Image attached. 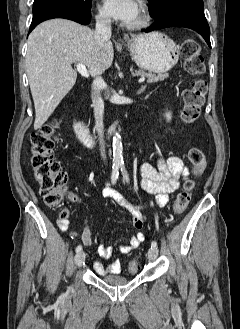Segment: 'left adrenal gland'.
Here are the masks:
<instances>
[{
	"instance_id": "1",
	"label": "left adrenal gland",
	"mask_w": 240,
	"mask_h": 329,
	"mask_svg": "<svg viewBox=\"0 0 240 329\" xmlns=\"http://www.w3.org/2000/svg\"><path fill=\"white\" fill-rule=\"evenodd\" d=\"M145 89V86L141 87V89L138 90L137 94H141Z\"/></svg>"
}]
</instances>
